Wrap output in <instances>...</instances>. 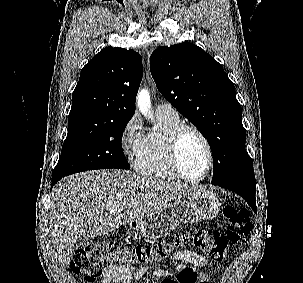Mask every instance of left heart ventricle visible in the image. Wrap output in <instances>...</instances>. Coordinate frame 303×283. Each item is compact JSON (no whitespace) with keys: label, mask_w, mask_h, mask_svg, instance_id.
I'll use <instances>...</instances> for the list:
<instances>
[{"label":"left heart ventricle","mask_w":303,"mask_h":283,"mask_svg":"<svg viewBox=\"0 0 303 283\" xmlns=\"http://www.w3.org/2000/svg\"><path fill=\"white\" fill-rule=\"evenodd\" d=\"M179 159L187 176L198 178L205 173L208 156L202 141L195 133H184L179 145Z\"/></svg>","instance_id":"1"}]
</instances>
